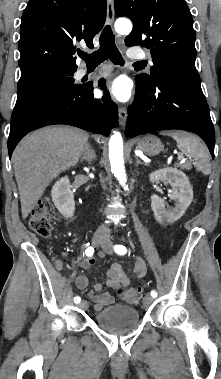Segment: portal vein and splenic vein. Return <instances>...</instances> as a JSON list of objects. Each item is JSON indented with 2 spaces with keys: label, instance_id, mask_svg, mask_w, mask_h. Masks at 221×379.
Wrapping results in <instances>:
<instances>
[{
  "label": "portal vein and splenic vein",
  "instance_id": "1",
  "mask_svg": "<svg viewBox=\"0 0 221 379\" xmlns=\"http://www.w3.org/2000/svg\"><path fill=\"white\" fill-rule=\"evenodd\" d=\"M177 159H178L179 161L185 160L184 156H178Z\"/></svg>",
  "mask_w": 221,
  "mask_h": 379
}]
</instances>
